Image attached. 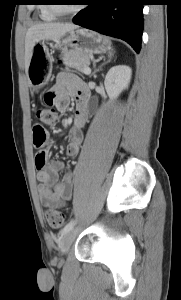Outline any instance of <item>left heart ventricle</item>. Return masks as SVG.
<instances>
[{"instance_id": "left-heart-ventricle-1", "label": "left heart ventricle", "mask_w": 181, "mask_h": 300, "mask_svg": "<svg viewBox=\"0 0 181 300\" xmlns=\"http://www.w3.org/2000/svg\"><path fill=\"white\" fill-rule=\"evenodd\" d=\"M63 2H67V1H63ZM59 7L62 9V10H71L73 8L72 5H69V4H61L59 5Z\"/></svg>"}]
</instances>
